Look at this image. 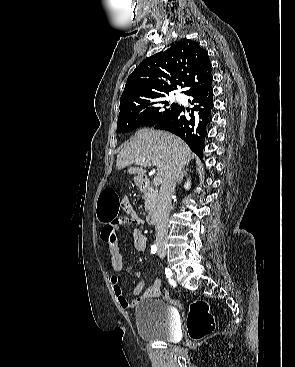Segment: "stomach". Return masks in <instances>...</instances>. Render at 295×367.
<instances>
[{
  "label": "stomach",
  "mask_w": 295,
  "mask_h": 367,
  "mask_svg": "<svg viewBox=\"0 0 295 367\" xmlns=\"http://www.w3.org/2000/svg\"><path fill=\"white\" fill-rule=\"evenodd\" d=\"M134 182H135L136 185L140 186L141 185V178L140 177L134 178Z\"/></svg>",
  "instance_id": "0dacf381"
}]
</instances>
